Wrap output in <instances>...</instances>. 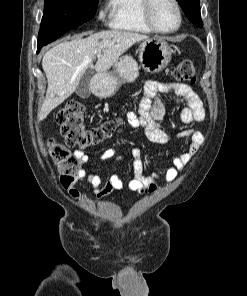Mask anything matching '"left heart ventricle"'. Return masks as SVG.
Listing matches in <instances>:
<instances>
[{
	"instance_id": "obj_1",
	"label": "left heart ventricle",
	"mask_w": 247,
	"mask_h": 296,
	"mask_svg": "<svg viewBox=\"0 0 247 296\" xmlns=\"http://www.w3.org/2000/svg\"><path fill=\"white\" fill-rule=\"evenodd\" d=\"M153 18L156 25L163 30L174 28L178 22L176 10L169 0H155Z\"/></svg>"
}]
</instances>
